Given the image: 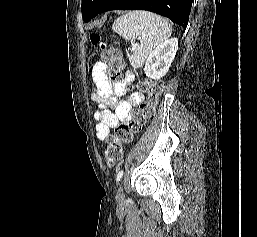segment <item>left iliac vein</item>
<instances>
[{
  "label": "left iliac vein",
  "instance_id": "left-iliac-vein-1",
  "mask_svg": "<svg viewBox=\"0 0 257 237\" xmlns=\"http://www.w3.org/2000/svg\"><path fill=\"white\" fill-rule=\"evenodd\" d=\"M124 193L122 189V184H119L118 190H117V199L118 200H123L124 199Z\"/></svg>",
  "mask_w": 257,
  "mask_h": 237
}]
</instances>
